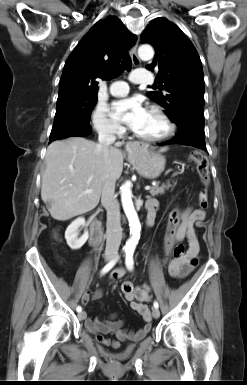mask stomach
I'll list each match as a JSON object with an SVG mask.
<instances>
[{
  "mask_svg": "<svg viewBox=\"0 0 247 385\" xmlns=\"http://www.w3.org/2000/svg\"><path fill=\"white\" fill-rule=\"evenodd\" d=\"M128 160L141 176L155 179L163 172L166 160L164 156L153 152L147 146L135 145L128 152Z\"/></svg>",
  "mask_w": 247,
  "mask_h": 385,
  "instance_id": "1",
  "label": "stomach"
}]
</instances>
